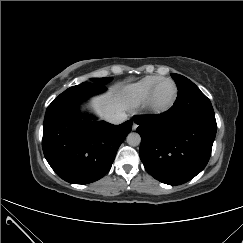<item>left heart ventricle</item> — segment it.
Returning <instances> with one entry per match:
<instances>
[{"label":"left heart ventricle","mask_w":243,"mask_h":243,"mask_svg":"<svg viewBox=\"0 0 243 243\" xmlns=\"http://www.w3.org/2000/svg\"><path fill=\"white\" fill-rule=\"evenodd\" d=\"M174 92V85L171 82L164 83L156 92L155 103L159 106L169 103L174 96Z\"/></svg>","instance_id":"b2bd125f"}]
</instances>
